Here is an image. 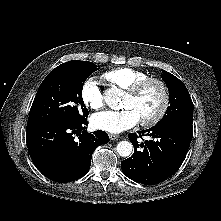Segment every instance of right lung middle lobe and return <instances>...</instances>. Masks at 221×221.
<instances>
[{
  "mask_svg": "<svg viewBox=\"0 0 221 221\" xmlns=\"http://www.w3.org/2000/svg\"><path fill=\"white\" fill-rule=\"evenodd\" d=\"M96 70L98 68L92 62L79 60L53 69L37 91L27 125L85 120L89 112L82 99V88L88 76Z\"/></svg>",
  "mask_w": 221,
  "mask_h": 221,
  "instance_id": "1",
  "label": "right lung middle lobe"
}]
</instances>
